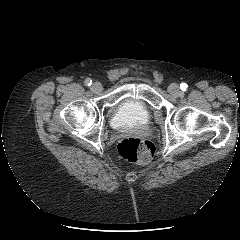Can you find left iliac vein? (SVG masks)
I'll use <instances>...</instances> for the list:
<instances>
[{
  "label": "left iliac vein",
  "instance_id": "obj_1",
  "mask_svg": "<svg viewBox=\"0 0 240 240\" xmlns=\"http://www.w3.org/2000/svg\"><path fill=\"white\" fill-rule=\"evenodd\" d=\"M168 92L174 96V97H179L182 95V92L181 90L179 89V86L177 84H171L169 87H168Z\"/></svg>",
  "mask_w": 240,
  "mask_h": 240
}]
</instances>
